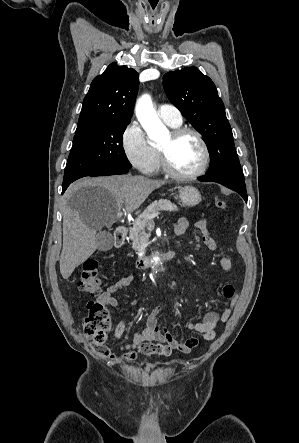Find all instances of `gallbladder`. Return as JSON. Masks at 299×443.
<instances>
[{
	"label": "gallbladder",
	"instance_id": "1",
	"mask_svg": "<svg viewBox=\"0 0 299 443\" xmlns=\"http://www.w3.org/2000/svg\"><path fill=\"white\" fill-rule=\"evenodd\" d=\"M97 249L99 251H108L112 248L114 238L108 231H101L96 235Z\"/></svg>",
	"mask_w": 299,
	"mask_h": 443
}]
</instances>
